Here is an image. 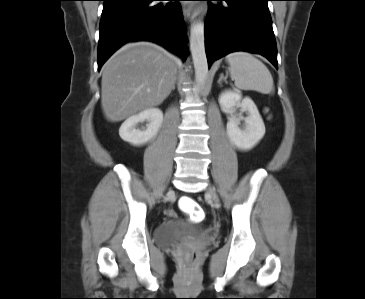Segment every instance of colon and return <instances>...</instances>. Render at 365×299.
<instances>
[{"label":"colon","instance_id":"colon-1","mask_svg":"<svg viewBox=\"0 0 365 299\" xmlns=\"http://www.w3.org/2000/svg\"><path fill=\"white\" fill-rule=\"evenodd\" d=\"M181 210L186 213L192 221H200L204 218V212L197 201L191 197H182L179 200Z\"/></svg>","mask_w":365,"mask_h":299}]
</instances>
